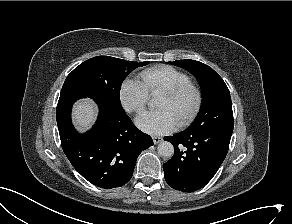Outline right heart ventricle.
<instances>
[{
	"label": "right heart ventricle",
	"instance_id": "e07e8e85",
	"mask_svg": "<svg viewBox=\"0 0 292 224\" xmlns=\"http://www.w3.org/2000/svg\"><path fill=\"white\" fill-rule=\"evenodd\" d=\"M139 76L150 95L160 94L165 89L190 82V77L185 72L168 65L145 69Z\"/></svg>",
	"mask_w": 292,
	"mask_h": 224
}]
</instances>
